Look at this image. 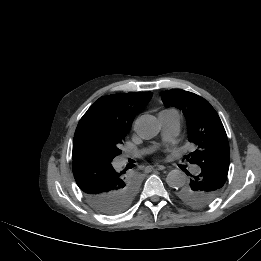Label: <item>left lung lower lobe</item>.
<instances>
[{
	"label": "left lung lower lobe",
	"instance_id": "left-lung-lower-lobe-1",
	"mask_svg": "<svg viewBox=\"0 0 261 261\" xmlns=\"http://www.w3.org/2000/svg\"><path fill=\"white\" fill-rule=\"evenodd\" d=\"M200 168V173L196 176H192L190 182L187 184L191 190L201 192L205 200L212 202L218 197L222 186L225 184L229 165L205 162L200 165Z\"/></svg>",
	"mask_w": 261,
	"mask_h": 261
}]
</instances>
